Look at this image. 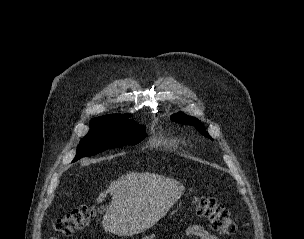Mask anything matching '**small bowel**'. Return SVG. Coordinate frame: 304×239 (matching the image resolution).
<instances>
[{
  "instance_id": "obj_1",
  "label": "small bowel",
  "mask_w": 304,
  "mask_h": 239,
  "mask_svg": "<svg viewBox=\"0 0 304 239\" xmlns=\"http://www.w3.org/2000/svg\"><path fill=\"white\" fill-rule=\"evenodd\" d=\"M185 235L190 239H219L217 236L209 233L206 229L198 225L189 226L185 231ZM50 239L58 238L52 237Z\"/></svg>"
}]
</instances>
